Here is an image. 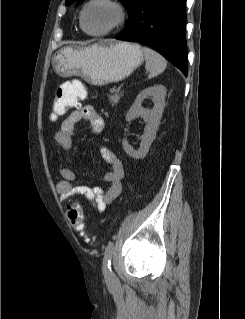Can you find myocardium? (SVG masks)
<instances>
[{
    "label": "myocardium",
    "instance_id": "1",
    "mask_svg": "<svg viewBox=\"0 0 245 319\" xmlns=\"http://www.w3.org/2000/svg\"><path fill=\"white\" fill-rule=\"evenodd\" d=\"M96 4H102V5H107L111 8H113L116 12V20L115 22L108 27L107 29H104L102 31H98V32H91L88 31L85 27V15L87 10ZM127 18V9L126 7L118 0H88L80 13V26L82 28V30L90 35V36H94V37H102V36H106L109 34H112L113 32H115L116 30H118L126 21Z\"/></svg>",
    "mask_w": 245,
    "mask_h": 319
}]
</instances>
